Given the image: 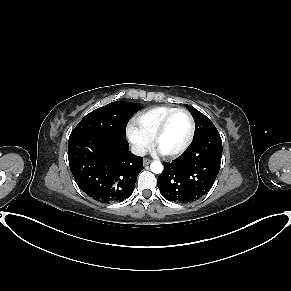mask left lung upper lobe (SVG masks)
<instances>
[{"instance_id": "obj_1", "label": "left lung upper lobe", "mask_w": 291, "mask_h": 291, "mask_svg": "<svg viewBox=\"0 0 291 291\" xmlns=\"http://www.w3.org/2000/svg\"><path fill=\"white\" fill-rule=\"evenodd\" d=\"M185 106L187 107L195 121V132L193 141L218 133V130L207 116H205L203 113H201L192 106Z\"/></svg>"}]
</instances>
